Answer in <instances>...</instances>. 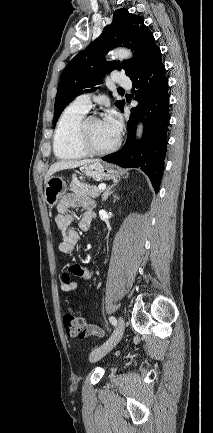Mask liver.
Instances as JSON below:
<instances>
[{"label":"liver","mask_w":213,"mask_h":433,"mask_svg":"<svg viewBox=\"0 0 213 433\" xmlns=\"http://www.w3.org/2000/svg\"><path fill=\"white\" fill-rule=\"evenodd\" d=\"M97 160L94 159H85V160H81V161H60L57 162L55 164H53L49 171L47 172V175L45 177V181L47 182L49 180V178L56 172L61 171V170H66V169H72V168H76L79 166H84L90 163H93Z\"/></svg>","instance_id":"obj_1"}]
</instances>
